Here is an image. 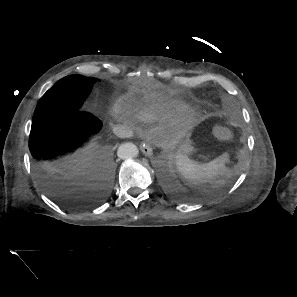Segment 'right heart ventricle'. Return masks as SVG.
Returning a JSON list of instances; mask_svg holds the SVG:
<instances>
[{
	"label": "right heart ventricle",
	"instance_id": "e07e8e85",
	"mask_svg": "<svg viewBox=\"0 0 297 297\" xmlns=\"http://www.w3.org/2000/svg\"><path fill=\"white\" fill-rule=\"evenodd\" d=\"M156 114L164 115L166 114V110L163 107L156 108L149 104L135 112L136 117L142 121H150L154 119Z\"/></svg>",
	"mask_w": 297,
	"mask_h": 297
}]
</instances>
